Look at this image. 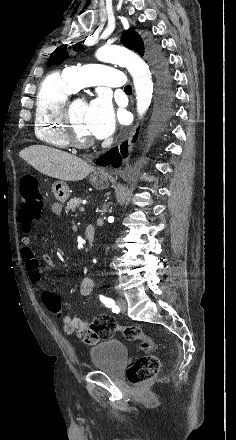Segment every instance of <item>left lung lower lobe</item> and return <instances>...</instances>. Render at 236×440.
<instances>
[{
    "label": "left lung lower lobe",
    "instance_id": "0a47b994",
    "mask_svg": "<svg viewBox=\"0 0 236 440\" xmlns=\"http://www.w3.org/2000/svg\"><path fill=\"white\" fill-rule=\"evenodd\" d=\"M169 99H170V95H166L164 97L165 102ZM168 115H169L168 112L166 111L163 112V116H168ZM138 130L139 129H137L132 142H135L138 135ZM127 156H128V143L123 142L120 146V151L118 150L117 147L112 148L111 150L100 156V158L97 159L96 164L101 166H108L112 164L115 168H117L121 166L122 158H126Z\"/></svg>",
    "mask_w": 236,
    "mask_h": 440
}]
</instances>
